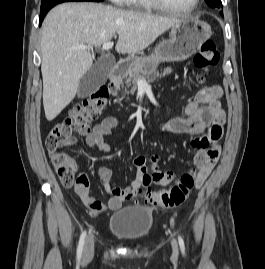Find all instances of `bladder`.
<instances>
[{
	"label": "bladder",
	"instance_id": "bladder-1",
	"mask_svg": "<svg viewBox=\"0 0 265 269\" xmlns=\"http://www.w3.org/2000/svg\"><path fill=\"white\" fill-rule=\"evenodd\" d=\"M153 213L150 208L130 205L109 218V232L126 242H137L147 237L153 228Z\"/></svg>",
	"mask_w": 265,
	"mask_h": 269
}]
</instances>
